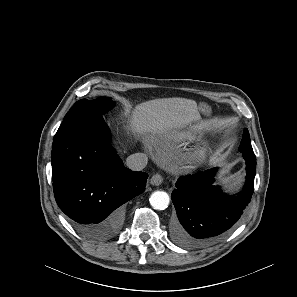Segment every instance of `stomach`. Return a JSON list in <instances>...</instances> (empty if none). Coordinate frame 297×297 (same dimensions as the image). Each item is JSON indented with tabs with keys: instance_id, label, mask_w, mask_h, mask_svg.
I'll use <instances>...</instances> for the list:
<instances>
[{
	"instance_id": "obj_1",
	"label": "stomach",
	"mask_w": 297,
	"mask_h": 297,
	"mask_svg": "<svg viewBox=\"0 0 297 297\" xmlns=\"http://www.w3.org/2000/svg\"><path fill=\"white\" fill-rule=\"evenodd\" d=\"M198 108L204 114L210 113L211 110L210 107L205 103H200Z\"/></svg>"
}]
</instances>
